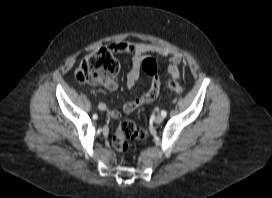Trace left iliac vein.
<instances>
[{
  "instance_id": "1",
  "label": "left iliac vein",
  "mask_w": 272,
  "mask_h": 198,
  "mask_svg": "<svg viewBox=\"0 0 272 198\" xmlns=\"http://www.w3.org/2000/svg\"><path fill=\"white\" fill-rule=\"evenodd\" d=\"M163 120H164V117L162 115H157L154 118V122L157 123V124L161 123Z\"/></svg>"
}]
</instances>
